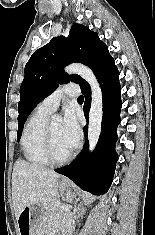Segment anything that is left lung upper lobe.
Segmentation results:
<instances>
[{"instance_id": "1", "label": "left lung upper lobe", "mask_w": 155, "mask_h": 235, "mask_svg": "<svg viewBox=\"0 0 155 235\" xmlns=\"http://www.w3.org/2000/svg\"><path fill=\"white\" fill-rule=\"evenodd\" d=\"M112 61L108 47L99 39L98 34L78 23L72 25L67 38H52L35 51L25 65V76L20 87L17 140L21 137L28 115L59 84L73 81L81 88L89 85L79 75L66 74L63 71L65 65L81 62L88 65L98 78Z\"/></svg>"}]
</instances>
